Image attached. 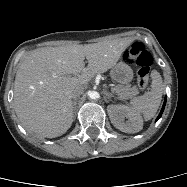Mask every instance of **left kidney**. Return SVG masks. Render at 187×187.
I'll list each match as a JSON object with an SVG mask.
<instances>
[{"instance_id": "obj_1", "label": "left kidney", "mask_w": 187, "mask_h": 187, "mask_svg": "<svg viewBox=\"0 0 187 187\" xmlns=\"http://www.w3.org/2000/svg\"><path fill=\"white\" fill-rule=\"evenodd\" d=\"M107 111L111 123L125 133H137L143 127L140 114L125 105H109ZM125 119H127L125 121Z\"/></svg>"}]
</instances>
